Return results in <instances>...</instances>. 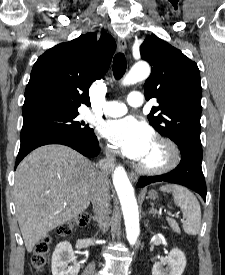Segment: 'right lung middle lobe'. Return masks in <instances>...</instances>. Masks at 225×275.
Masks as SVG:
<instances>
[{"label": "right lung middle lobe", "instance_id": "obj_1", "mask_svg": "<svg viewBox=\"0 0 225 275\" xmlns=\"http://www.w3.org/2000/svg\"><path fill=\"white\" fill-rule=\"evenodd\" d=\"M78 111H47L23 116V127L46 125L68 131L78 136H91L94 131L83 121H77Z\"/></svg>", "mask_w": 225, "mask_h": 275}]
</instances>
